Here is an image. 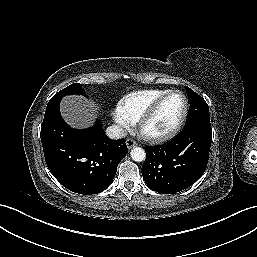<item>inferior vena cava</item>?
<instances>
[{
	"mask_svg": "<svg viewBox=\"0 0 257 257\" xmlns=\"http://www.w3.org/2000/svg\"><path fill=\"white\" fill-rule=\"evenodd\" d=\"M106 135L110 139H120L127 136V131L119 125H112L106 129Z\"/></svg>",
	"mask_w": 257,
	"mask_h": 257,
	"instance_id": "inferior-vena-cava-1",
	"label": "inferior vena cava"
}]
</instances>
